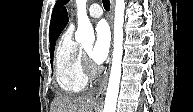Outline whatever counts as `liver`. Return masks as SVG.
I'll return each instance as SVG.
<instances>
[{
	"instance_id": "obj_1",
	"label": "liver",
	"mask_w": 193,
	"mask_h": 112,
	"mask_svg": "<svg viewBox=\"0 0 193 112\" xmlns=\"http://www.w3.org/2000/svg\"><path fill=\"white\" fill-rule=\"evenodd\" d=\"M51 112H97L98 107L89 96H63L54 99Z\"/></svg>"
}]
</instances>
